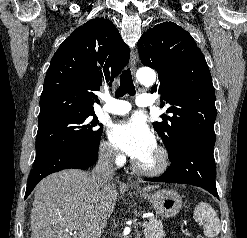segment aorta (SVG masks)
I'll list each match as a JSON object with an SVG mask.
<instances>
[{
  "label": "aorta",
  "mask_w": 247,
  "mask_h": 238,
  "mask_svg": "<svg viewBox=\"0 0 247 238\" xmlns=\"http://www.w3.org/2000/svg\"><path fill=\"white\" fill-rule=\"evenodd\" d=\"M138 81L145 86H152L156 81V74L153 70L142 68L137 71Z\"/></svg>",
  "instance_id": "obj_1"
}]
</instances>
